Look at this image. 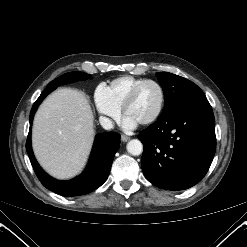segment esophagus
Masks as SVG:
<instances>
[{"label": "esophagus", "instance_id": "esophagus-1", "mask_svg": "<svg viewBox=\"0 0 247 247\" xmlns=\"http://www.w3.org/2000/svg\"><path fill=\"white\" fill-rule=\"evenodd\" d=\"M121 140H122L123 142H127V141L130 140V137H129V136H126V135H122V136H121Z\"/></svg>", "mask_w": 247, "mask_h": 247}]
</instances>
